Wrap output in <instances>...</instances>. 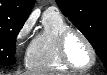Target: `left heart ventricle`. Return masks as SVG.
Masks as SVG:
<instances>
[{
  "label": "left heart ventricle",
  "instance_id": "b2bd125f",
  "mask_svg": "<svg viewBox=\"0 0 107 75\" xmlns=\"http://www.w3.org/2000/svg\"><path fill=\"white\" fill-rule=\"evenodd\" d=\"M67 53L70 60L77 66L84 67L91 62V53L86 43L76 34L69 36Z\"/></svg>",
  "mask_w": 107,
  "mask_h": 75
}]
</instances>
